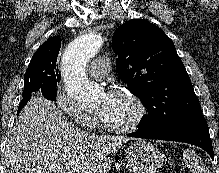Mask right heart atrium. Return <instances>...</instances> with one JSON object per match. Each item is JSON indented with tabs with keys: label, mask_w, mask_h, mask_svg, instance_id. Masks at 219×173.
I'll list each match as a JSON object with an SVG mask.
<instances>
[{
	"label": "right heart atrium",
	"mask_w": 219,
	"mask_h": 173,
	"mask_svg": "<svg viewBox=\"0 0 219 173\" xmlns=\"http://www.w3.org/2000/svg\"><path fill=\"white\" fill-rule=\"evenodd\" d=\"M55 101L58 107L80 126L85 128H93L96 126V113L94 111L85 110L63 89L58 88L56 90Z\"/></svg>",
	"instance_id": "right-heart-atrium-1"
}]
</instances>
